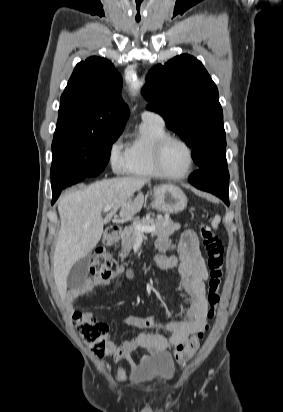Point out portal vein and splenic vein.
I'll return each mask as SVG.
<instances>
[{
    "instance_id": "1",
    "label": "portal vein and splenic vein",
    "mask_w": 283,
    "mask_h": 412,
    "mask_svg": "<svg viewBox=\"0 0 283 412\" xmlns=\"http://www.w3.org/2000/svg\"><path fill=\"white\" fill-rule=\"evenodd\" d=\"M112 206H106L104 208V212L107 213L111 210ZM135 229L138 231V233H149V232H154L156 230L155 226H143L140 224L135 225Z\"/></svg>"
}]
</instances>
